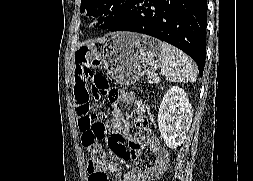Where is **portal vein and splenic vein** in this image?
I'll list each match as a JSON object with an SVG mask.
<instances>
[{
	"mask_svg": "<svg viewBox=\"0 0 253 181\" xmlns=\"http://www.w3.org/2000/svg\"><path fill=\"white\" fill-rule=\"evenodd\" d=\"M159 81H160L159 78H154V79L152 80V82H154V83H158Z\"/></svg>",
	"mask_w": 253,
	"mask_h": 181,
	"instance_id": "portal-vein-and-splenic-vein-1",
	"label": "portal vein and splenic vein"
}]
</instances>
